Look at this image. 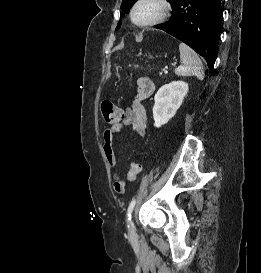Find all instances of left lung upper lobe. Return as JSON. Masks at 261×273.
<instances>
[{
    "mask_svg": "<svg viewBox=\"0 0 261 273\" xmlns=\"http://www.w3.org/2000/svg\"><path fill=\"white\" fill-rule=\"evenodd\" d=\"M137 0H123V2H122V4H121V10H122V12L123 13H128V11H129V9H130V7L136 2ZM170 3H171V5H173L175 2H176V0H168ZM120 22L118 23V25H117V28H116V30H118L119 28H120Z\"/></svg>",
    "mask_w": 261,
    "mask_h": 273,
    "instance_id": "1",
    "label": "left lung upper lobe"
}]
</instances>
